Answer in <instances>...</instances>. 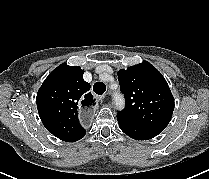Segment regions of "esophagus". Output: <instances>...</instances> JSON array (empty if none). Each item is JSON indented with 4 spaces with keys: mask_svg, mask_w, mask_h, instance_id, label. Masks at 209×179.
<instances>
[{
    "mask_svg": "<svg viewBox=\"0 0 209 179\" xmlns=\"http://www.w3.org/2000/svg\"><path fill=\"white\" fill-rule=\"evenodd\" d=\"M107 94L96 97L97 100L92 94H85L83 99L79 101L78 109L80 111L81 125L84 128H89L92 125V116L95 114L94 107L97 105V101H102Z\"/></svg>",
    "mask_w": 209,
    "mask_h": 179,
    "instance_id": "obj_1",
    "label": "esophagus"
}]
</instances>
